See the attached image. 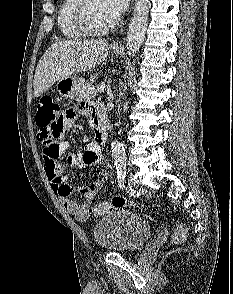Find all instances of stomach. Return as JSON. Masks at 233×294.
<instances>
[{"instance_id":"obj_1","label":"stomach","mask_w":233,"mask_h":294,"mask_svg":"<svg viewBox=\"0 0 233 294\" xmlns=\"http://www.w3.org/2000/svg\"><path fill=\"white\" fill-rule=\"evenodd\" d=\"M119 49H113L115 55L120 54ZM56 89L59 95L63 98H75L81 89V80L75 75H70L56 82Z\"/></svg>"}]
</instances>
